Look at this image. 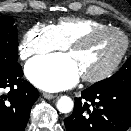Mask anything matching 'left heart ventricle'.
<instances>
[{
	"mask_svg": "<svg viewBox=\"0 0 131 131\" xmlns=\"http://www.w3.org/2000/svg\"><path fill=\"white\" fill-rule=\"evenodd\" d=\"M123 38L107 32L92 38L85 46L69 50L81 75H93L106 69L118 56Z\"/></svg>",
	"mask_w": 131,
	"mask_h": 131,
	"instance_id": "obj_1",
	"label": "left heart ventricle"
}]
</instances>
